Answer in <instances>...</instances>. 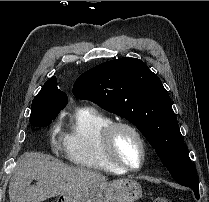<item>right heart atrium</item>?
Segmentation results:
<instances>
[{
    "instance_id": "1",
    "label": "right heart atrium",
    "mask_w": 209,
    "mask_h": 202,
    "mask_svg": "<svg viewBox=\"0 0 209 202\" xmlns=\"http://www.w3.org/2000/svg\"><path fill=\"white\" fill-rule=\"evenodd\" d=\"M49 138L53 143V148L57 149L63 144L64 134L61 131V126L58 120L54 121L49 129Z\"/></svg>"
}]
</instances>
